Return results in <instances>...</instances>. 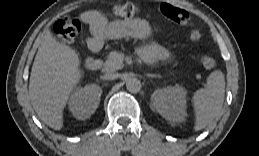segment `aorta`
Here are the masks:
<instances>
[{"mask_svg": "<svg viewBox=\"0 0 259 156\" xmlns=\"http://www.w3.org/2000/svg\"><path fill=\"white\" fill-rule=\"evenodd\" d=\"M141 81L137 78H130L126 82L127 90L131 93H137L141 89Z\"/></svg>", "mask_w": 259, "mask_h": 156, "instance_id": "762f6f07", "label": "aorta"}]
</instances>
